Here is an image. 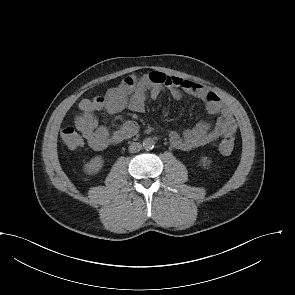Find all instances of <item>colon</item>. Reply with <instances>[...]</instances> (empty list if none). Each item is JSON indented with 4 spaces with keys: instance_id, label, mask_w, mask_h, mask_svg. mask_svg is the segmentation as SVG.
I'll return each instance as SVG.
<instances>
[{
    "instance_id": "5ec220e1",
    "label": "colon",
    "mask_w": 295,
    "mask_h": 295,
    "mask_svg": "<svg viewBox=\"0 0 295 295\" xmlns=\"http://www.w3.org/2000/svg\"><path fill=\"white\" fill-rule=\"evenodd\" d=\"M61 138L63 143L69 149H76L82 145V138L77 130L73 127H66L61 131ZM234 137L233 135L225 136L219 146L220 152L224 155L230 154L234 149Z\"/></svg>"
}]
</instances>
